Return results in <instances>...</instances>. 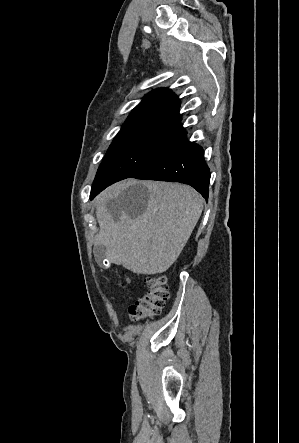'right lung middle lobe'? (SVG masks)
I'll return each instance as SVG.
<instances>
[{
  "label": "right lung middle lobe",
  "instance_id": "right-lung-middle-lobe-1",
  "mask_svg": "<svg viewBox=\"0 0 299 443\" xmlns=\"http://www.w3.org/2000/svg\"><path fill=\"white\" fill-rule=\"evenodd\" d=\"M183 132L181 123L152 121L120 131L97 171L91 194L140 171L171 147Z\"/></svg>",
  "mask_w": 299,
  "mask_h": 443
}]
</instances>
